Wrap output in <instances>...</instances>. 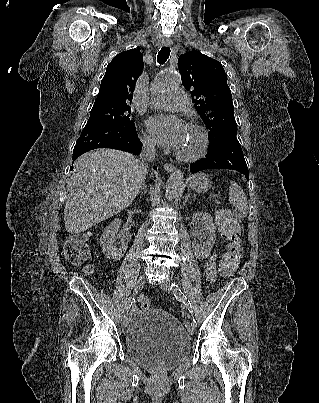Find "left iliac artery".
Segmentation results:
<instances>
[{
    "instance_id": "1",
    "label": "left iliac artery",
    "mask_w": 319,
    "mask_h": 403,
    "mask_svg": "<svg viewBox=\"0 0 319 403\" xmlns=\"http://www.w3.org/2000/svg\"><path fill=\"white\" fill-rule=\"evenodd\" d=\"M171 287H172L173 294L176 297V299H178L180 302H182L188 308L189 312L192 315V322L187 323V327L190 324H192V325H194L196 327L197 323H196V320L193 317V309H192L190 301L187 299V297L184 295V293L182 292L180 287L175 282H172Z\"/></svg>"
}]
</instances>
